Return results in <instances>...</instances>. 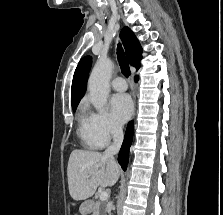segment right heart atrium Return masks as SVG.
<instances>
[{"label": "right heart atrium", "instance_id": "d8ad5b80", "mask_svg": "<svg viewBox=\"0 0 223 215\" xmlns=\"http://www.w3.org/2000/svg\"><path fill=\"white\" fill-rule=\"evenodd\" d=\"M86 124L92 134L103 144L121 133V127L106 111H86Z\"/></svg>", "mask_w": 223, "mask_h": 215}]
</instances>
